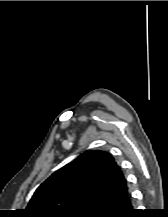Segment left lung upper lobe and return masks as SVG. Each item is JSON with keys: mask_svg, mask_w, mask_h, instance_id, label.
Segmentation results:
<instances>
[{"mask_svg": "<svg viewBox=\"0 0 168 217\" xmlns=\"http://www.w3.org/2000/svg\"><path fill=\"white\" fill-rule=\"evenodd\" d=\"M126 187L114 158L89 150L43 182L25 210L29 217H98L107 202Z\"/></svg>", "mask_w": 168, "mask_h": 217, "instance_id": "5c2ea615", "label": "left lung upper lobe"}]
</instances>
